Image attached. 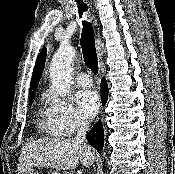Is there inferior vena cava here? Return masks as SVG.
<instances>
[{"mask_svg":"<svg viewBox=\"0 0 175 174\" xmlns=\"http://www.w3.org/2000/svg\"><path fill=\"white\" fill-rule=\"evenodd\" d=\"M77 134L74 138V141L76 143L82 144L84 146H87L89 149H91L87 144H86V132L89 129V123L85 120H79L77 122Z\"/></svg>","mask_w":175,"mask_h":174,"instance_id":"inferior-vena-cava-1","label":"inferior vena cava"}]
</instances>
